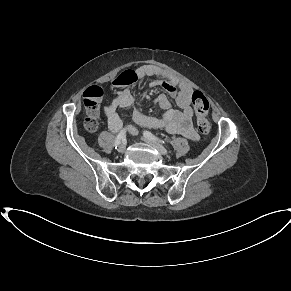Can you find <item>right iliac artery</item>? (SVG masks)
<instances>
[{
	"label": "right iliac artery",
	"instance_id": "right-iliac-artery-1",
	"mask_svg": "<svg viewBox=\"0 0 291 291\" xmlns=\"http://www.w3.org/2000/svg\"><path fill=\"white\" fill-rule=\"evenodd\" d=\"M126 136L125 129L121 130L120 133L117 135L115 140V148L117 149V146L120 144L121 140H123Z\"/></svg>",
	"mask_w": 291,
	"mask_h": 291
}]
</instances>
